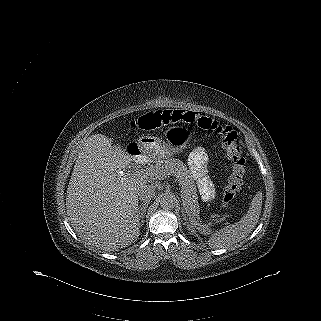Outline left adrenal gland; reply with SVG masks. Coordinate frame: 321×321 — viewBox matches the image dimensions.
Returning a JSON list of instances; mask_svg holds the SVG:
<instances>
[{
    "instance_id": "1",
    "label": "left adrenal gland",
    "mask_w": 321,
    "mask_h": 321,
    "mask_svg": "<svg viewBox=\"0 0 321 321\" xmlns=\"http://www.w3.org/2000/svg\"><path fill=\"white\" fill-rule=\"evenodd\" d=\"M183 219L185 221V225L187 226V228L190 230V225L186 222L187 221V217H186V214L183 213Z\"/></svg>"
}]
</instances>
